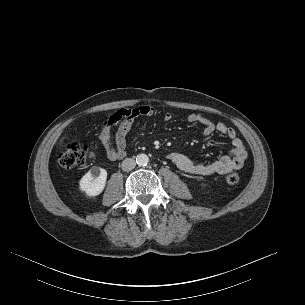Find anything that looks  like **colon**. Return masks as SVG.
I'll use <instances>...</instances> for the list:
<instances>
[{
	"label": "colon",
	"mask_w": 305,
	"mask_h": 305,
	"mask_svg": "<svg viewBox=\"0 0 305 305\" xmlns=\"http://www.w3.org/2000/svg\"><path fill=\"white\" fill-rule=\"evenodd\" d=\"M95 150L96 146L92 143L81 144L72 142L60 153L59 162L64 168L81 166L92 158ZM224 180L229 185H235L240 181V177L236 173H229L225 176Z\"/></svg>",
	"instance_id": "1"
}]
</instances>
